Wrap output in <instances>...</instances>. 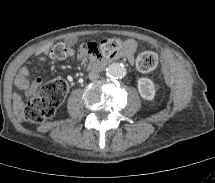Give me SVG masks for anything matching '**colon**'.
<instances>
[{
  "label": "colon",
  "instance_id": "5ec220e1",
  "mask_svg": "<svg viewBox=\"0 0 215 183\" xmlns=\"http://www.w3.org/2000/svg\"><path fill=\"white\" fill-rule=\"evenodd\" d=\"M87 55L97 58H113L124 51L123 43L115 38H106L100 42H89L81 46ZM74 53L70 45L60 42L55 44L50 57L53 60H64ZM137 68L143 73H150L157 68V55L143 51L136 59ZM68 91V84L63 79H55L44 84L38 93L18 109L21 120L30 123H42L56 113Z\"/></svg>",
  "mask_w": 215,
  "mask_h": 183
}]
</instances>
